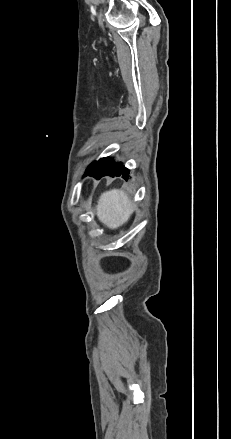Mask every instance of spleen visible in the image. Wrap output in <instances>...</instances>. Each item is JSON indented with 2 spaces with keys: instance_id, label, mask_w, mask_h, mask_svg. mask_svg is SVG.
<instances>
[{
  "instance_id": "1",
  "label": "spleen",
  "mask_w": 231,
  "mask_h": 439,
  "mask_svg": "<svg viewBox=\"0 0 231 439\" xmlns=\"http://www.w3.org/2000/svg\"><path fill=\"white\" fill-rule=\"evenodd\" d=\"M132 212L128 196L118 189L104 192L98 201L97 216L101 222L111 229L124 224Z\"/></svg>"
}]
</instances>
